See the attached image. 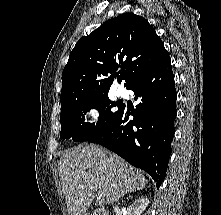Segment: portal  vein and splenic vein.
<instances>
[{"mask_svg":"<svg viewBox=\"0 0 221 215\" xmlns=\"http://www.w3.org/2000/svg\"><path fill=\"white\" fill-rule=\"evenodd\" d=\"M97 202L99 204H102L104 202V198L100 194H98V196H97Z\"/></svg>","mask_w":221,"mask_h":215,"instance_id":"1","label":"portal vein and splenic vein"}]
</instances>
